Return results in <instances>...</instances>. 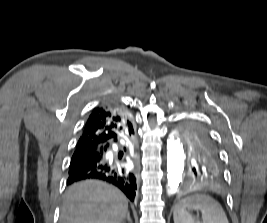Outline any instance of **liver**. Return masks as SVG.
<instances>
[{
	"label": "liver",
	"mask_w": 267,
	"mask_h": 223,
	"mask_svg": "<svg viewBox=\"0 0 267 223\" xmlns=\"http://www.w3.org/2000/svg\"><path fill=\"white\" fill-rule=\"evenodd\" d=\"M127 212L128 201L120 190L88 180L67 189L60 223H121Z\"/></svg>",
	"instance_id": "6515ba94"
}]
</instances>
